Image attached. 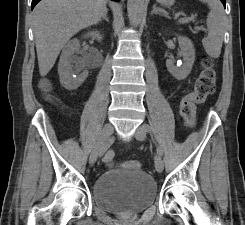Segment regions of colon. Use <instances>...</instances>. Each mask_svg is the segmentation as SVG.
<instances>
[{
	"instance_id": "obj_1",
	"label": "colon",
	"mask_w": 245,
	"mask_h": 225,
	"mask_svg": "<svg viewBox=\"0 0 245 225\" xmlns=\"http://www.w3.org/2000/svg\"><path fill=\"white\" fill-rule=\"evenodd\" d=\"M217 80L218 74L214 68L212 59L210 57H204L201 61V70L193 89L186 93L181 100V115L186 126H194L197 105L204 102L214 92ZM40 90L44 94H48L51 87L45 85ZM103 162L106 166H111L114 162V154L107 152L103 158ZM125 165L136 170L141 168V165L134 160L125 161Z\"/></svg>"
}]
</instances>
